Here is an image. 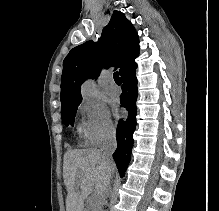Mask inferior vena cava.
<instances>
[{"instance_id":"602c4592","label":"inferior vena cava","mask_w":219,"mask_h":211,"mask_svg":"<svg viewBox=\"0 0 219 211\" xmlns=\"http://www.w3.org/2000/svg\"><path fill=\"white\" fill-rule=\"evenodd\" d=\"M117 147V141L114 133H107L105 137H103V141L100 145L99 151H101V155L104 161V170L108 171L109 175H120L121 171L117 170V161H113L112 153L115 151Z\"/></svg>"}]
</instances>
